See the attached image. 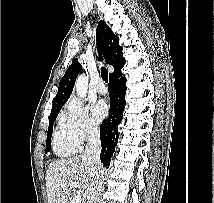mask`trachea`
<instances>
[{
	"mask_svg": "<svg viewBox=\"0 0 214 203\" xmlns=\"http://www.w3.org/2000/svg\"><path fill=\"white\" fill-rule=\"evenodd\" d=\"M101 76L105 82H108V71L105 67L101 68Z\"/></svg>",
	"mask_w": 214,
	"mask_h": 203,
	"instance_id": "1",
	"label": "trachea"
}]
</instances>
